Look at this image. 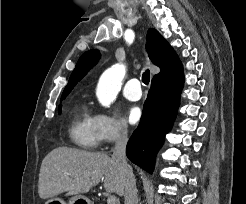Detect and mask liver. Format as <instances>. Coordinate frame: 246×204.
<instances>
[{"mask_svg":"<svg viewBox=\"0 0 246 204\" xmlns=\"http://www.w3.org/2000/svg\"><path fill=\"white\" fill-rule=\"evenodd\" d=\"M102 178L106 192L124 195L126 177L118 161L104 153L57 147L42 161L38 193L41 199L63 192L78 196L98 185Z\"/></svg>","mask_w":246,"mask_h":204,"instance_id":"6515ba94","label":"liver"}]
</instances>
